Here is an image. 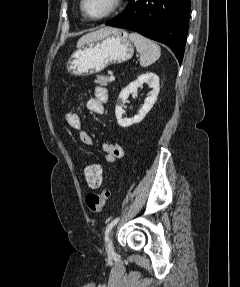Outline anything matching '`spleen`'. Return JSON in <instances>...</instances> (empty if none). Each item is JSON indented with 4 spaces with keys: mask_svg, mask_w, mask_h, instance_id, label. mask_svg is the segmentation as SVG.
<instances>
[{
    "mask_svg": "<svg viewBox=\"0 0 240 287\" xmlns=\"http://www.w3.org/2000/svg\"><path fill=\"white\" fill-rule=\"evenodd\" d=\"M129 39L134 43L137 52L140 54V65L148 67L159 59L161 48L155 42L138 33L132 32Z\"/></svg>",
    "mask_w": 240,
    "mask_h": 287,
    "instance_id": "1",
    "label": "spleen"
}]
</instances>
